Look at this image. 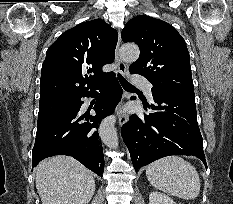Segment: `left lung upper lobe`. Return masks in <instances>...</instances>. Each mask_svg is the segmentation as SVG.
<instances>
[{"label": "left lung upper lobe", "mask_w": 233, "mask_h": 204, "mask_svg": "<svg viewBox=\"0 0 233 204\" xmlns=\"http://www.w3.org/2000/svg\"><path fill=\"white\" fill-rule=\"evenodd\" d=\"M122 40L139 46L140 56L129 71L147 78L153 85L152 93L194 96L189 53L184 39L173 26L140 15L125 25Z\"/></svg>", "instance_id": "1"}]
</instances>
